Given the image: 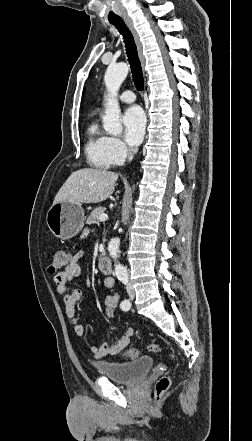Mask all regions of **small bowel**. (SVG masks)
<instances>
[{
	"label": "small bowel",
	"mask_w": 252,
	"mask_h": 441,
	"mask_svg": "<svg viewBox=\"0 0 252 441\" xmlns=\"http://www.w3.org/2000/svg\"><path fill=\"white\" fill-rule=\"evenodd\" d=\"M83 253L80 252L76 256L72 257L68 265L59 273L54 276V283L56 285L57 292L63 296V303L65 307V314L73 325L74 332L77 336L84 334V328L79 323V319L76 313V304L82 298L83 290L81 287H76L72 292L68 293V283L75 277L80 275L81 268L79 265V259ZM103 284L106 288H113L115 280L111 276H105ZM119 304V295L111 294L105 297L104 305H112L115 308ZM134 334L133 327H127L125 332L112 342H106L101 346H90L87 352L95 359L100 360L110 355L119 353L130 341V338Z\"/></svg>",
	"instance_id": "obj_1"
}]
</instances>
